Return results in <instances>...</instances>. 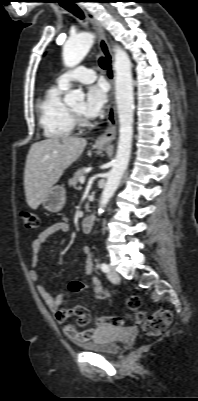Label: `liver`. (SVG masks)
<instances>
[{
    "label": "liver",
    "instance_id": "obj_1",
    "mask_svg": "<svg viewBox=\"0 0 198 401\" xmlns=\"http://www.w3.org/2000/svg\"><path fill=\"white\" fill-rule=\"evenodd\" d=\"M86 144L85 138L68 136H54L32 144L24 171L26 201L32 209L43 202L64 171L81 156Z\"/></svg>",
    "mask_w": 198,
    "mask_h": 401
}]
</instances>
